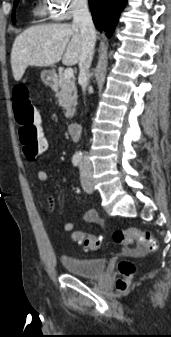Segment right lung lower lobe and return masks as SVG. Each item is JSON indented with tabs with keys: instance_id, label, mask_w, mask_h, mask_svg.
Returning a JSON list of instances; mask_svg holds the SVG:
<instances>
[{
	"instance_id": "98d812e1",
	"label": "right lung lower lobe",
	"mask_w": 171,
	"mask_h": 337,
	"mask_svg": "<svg viewBox=\"0 0 171 337\" xmlns=\"http://www.w3.org/2000/svg\"><path fill=\"white\" fill-rule=\"evenodd\" d=\"M126 3L127 0H89L96 28L111 37Z\"/></svg>"
}]
</instances>
